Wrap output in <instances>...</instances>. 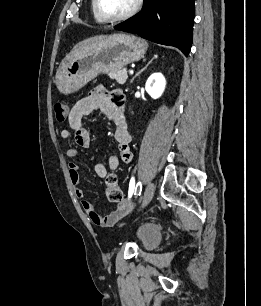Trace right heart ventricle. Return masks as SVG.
Listing matches in <instances>:
<instances>
[{
  "instance_id": "e07e8e85",
  "label": "right heart ventricle",
  "mask_w": 261,
  "mask_h": 306,
  "mask_svg": "<svg viewBox=\"0 0 261 306\" xmlns=\"http://www.w3.org/2000/svg\"><path fill=\"white\" fill-rule=\"evenodd\" d=\"M91 7H92V12H93V16H94L95 20L97 22H104L103 20L100 19V17L96 14V12L94 10V0H91Z\"/></svg>"
}]
</instances>
